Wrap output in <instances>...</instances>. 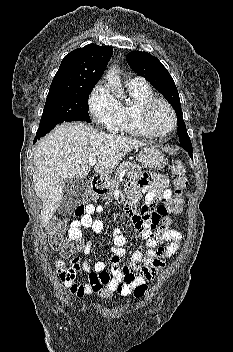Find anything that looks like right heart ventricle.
Wrapping results in <instances>:
<instances>
[{
    "label": "right heart ventricle",
    "instance_id": "e07e8e85",
    "mask_svg": "<svg viewBox=\"0 0 233 352\" xmlns=\"http://www.w3.org/2000/svg\"><path fill=\"white\" fill-rule=\"evenodd\" d=\"M132 102L120 105V119L117 132L133 136H147L138 122L139 107L154 97L153 91L146 83H128Z\"/></svg>",
    "mask_w": 233,
    "mask_h": 352
}]
</instances>
